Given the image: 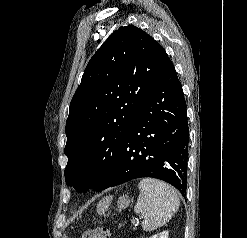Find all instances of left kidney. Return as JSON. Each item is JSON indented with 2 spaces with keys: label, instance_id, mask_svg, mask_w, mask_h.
<instances>
[{
  "label": "left kidney",
  "instance_id": "5707ae66",
  "mask_svg": "<svg viewBox=\"0 0 247 238\" xmlns=\"http://www.w3.org/2000/svg\"><path fill=\"white\" fill-rule=\"evenodd\" d=\"M150 238H168V231H163L157 235H154Z\"/></svg>",
  "mask_w": 247,
  "mask_h": 238
}]
</instances>
